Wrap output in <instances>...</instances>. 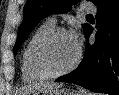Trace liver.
<instances>
[{
	"mask_svg": "<svg viewBox=\"0 0 119 95\" xmlns=\"http://www.w3.org/2000/svg\"><path fill=\"white\" fill-rule=\"evenodd\" d=\"M62 85L60 84H54V83H40L36 84L32 87H25L22 89V94L26 95L29 93L35 92V90H51V89H58Z\"/></svg>",
	"mask_w": 119,
	"mask_h": 95,
	"instance_id": "obj_1",
	"label": "liver"
}]
</instances>
